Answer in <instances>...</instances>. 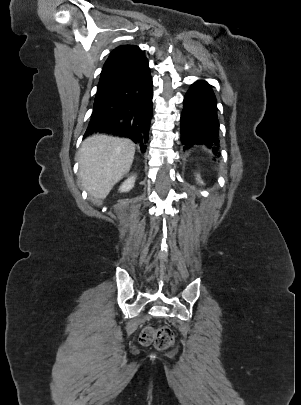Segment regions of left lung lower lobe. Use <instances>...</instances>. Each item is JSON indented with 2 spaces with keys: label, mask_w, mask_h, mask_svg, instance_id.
<instances>
[{
  "label": "left lung lower lobe",
  "mask_w": 301,
  "mask_h": 405,
  "mask_svg": "<svg viewBox=\"0 0 301 405\" xmlns=\"http://www.w3.org/2000/svg\"><path fill=\"white\" fill-rule=\"evenodd\" d=\"M219 121L217 102L204 80L193 83L185 95L181 114V142L187 148L204 145L217 154Z\"/></svg>",
  "instance_id": "left-lung-lower-lobe-1"
}]
</instances>
